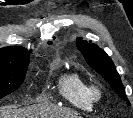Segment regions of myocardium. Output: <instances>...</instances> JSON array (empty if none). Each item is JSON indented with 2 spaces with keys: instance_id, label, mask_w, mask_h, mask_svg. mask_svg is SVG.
Returning <instances> with one entry per match:
<instances>
[{
  "instance_id": "myocardium-1",
  "label": "myocardium",
  "mask_w": 133,
  "mask_h": 118,
  "mask_svg": "<svg viewBox=\"0 0 133 118\" xmlns=\"http://www.w3.org/2000/svg\"><path fill=\"white\" fill-rule=\"evenodd\" d=\"M92 96L94 101H98L102 98V92L99 88L97 87H92Z\"/></svg>"
}]
</instances>
